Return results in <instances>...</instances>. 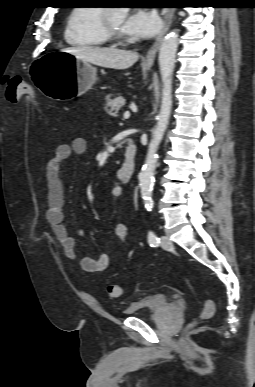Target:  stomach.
I'll return each instance as SVG.
<instances>
[{
  "instance_id": "obj_1",
  "label": "stomach",
  "mask_w": 255,
  "mask_h": 387,
  "mask_svg": "<svg viewBox=\"0 0 255 387\" xmlns=\"http://www.w3.org/2000/svg\"><path fill=\"white\" fill-rule=\"evenodd\" d=\"M59 46H44V55H37L30 66L27 82L43 91L46 99H71L90 89L97 81V70ZM151 65H146L149 69Z\"/></svg>"
}]
</instances>
